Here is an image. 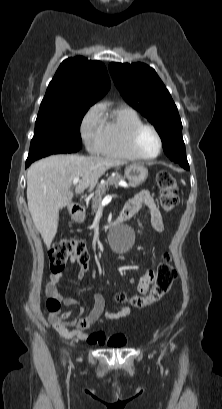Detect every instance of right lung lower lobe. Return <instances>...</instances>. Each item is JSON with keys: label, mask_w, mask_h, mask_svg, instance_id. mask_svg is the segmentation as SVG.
Here are the masks:
<instances>
[{"label": "right lung lower lobe", "mask_w": 222, "mask_h": 409, "mask_svg": "<svg viewBox=\"0 0 222 409\" xmlns=\"http://www.w3.org/2000/svg\"><path fill=\"white\" fill-rule=\"evenodd\" d=\"M30 164H31V163H27V162H26V167H28Z\"/></svg>", "instance_id": "obj_1"}]
</instances>
